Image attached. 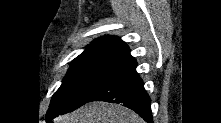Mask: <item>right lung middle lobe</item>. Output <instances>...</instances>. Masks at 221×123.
<instances>
[{
	"instance_id": "1",
	"label": "right lung middle lobe",
	"mask_w": 221,
	"mask_h": 123,
	"mask_svg": "<svg viewBox=\"0 0 221 123\" xmlns=\"http://www.w3.org/2000/svg\"><path fill=\"white\" fill-rule=\"evenodd\" d=\"M132 58L106 51H84L72 62L49 113L71 112L88 102L94 89Z\"/></svg>"
}]
</instances>
